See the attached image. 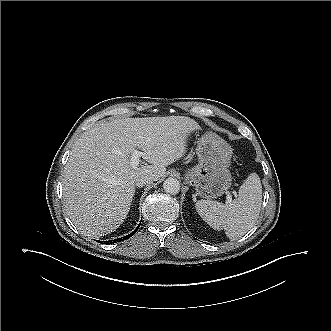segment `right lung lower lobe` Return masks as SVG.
<instances>
[{"label": "right lung lower lobe", "mask_w": 331, "mask_h": 331, "mask_svg": "<svg viewBox=\"0 0 331 331\" xmlns=\"http://www.w3.org/2000/svg\"><path fill=\"white\" fill-rule=\"evenodd\" d=\"M139 225H140V224H139ZM138 228H139V227H137V228L135 229V231H133L131 234H129V235H127V236H124L123 238H119V239H116V240H114V241H110V242H108V241H104V242H105L104 244H111V243H115L116 241L120 242V241L126 240V239L130 238L131 236H133V235L136 233V231L138 230Z\"/></svg>", "instance_id": "98d812e1"}]
</instances>
